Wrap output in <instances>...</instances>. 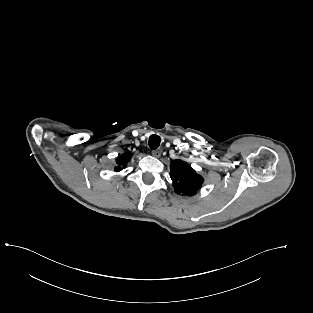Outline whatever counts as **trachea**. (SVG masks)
Returning a JSON list of instances; mask_svg holds the SVG:
<instances>
[{
	"label": "trachea",
	"instance_id": "trachea-1",
	"mask_svg": "<svg viewBox=\"0 0 313 313\" xmlns=\"http://www.w3.org/2000/svg\"><path fill=\"white\" fill-rule=\"evenodd\" d=\"M160 142H161L160 137L154 134L150 136L148 144L151 149L155 150L159 147Z\"/></svg>",
	"mask_w": 313,
	"mask_h": 313
}]
</instances>
